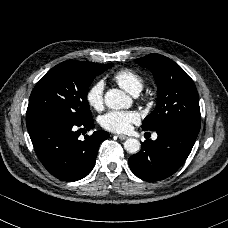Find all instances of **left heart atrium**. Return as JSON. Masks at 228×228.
Here are the masks:
<instances>
[{
  "mask_svg": "<svg viewBox=\"0 0 228 228\" xmlns=\"http://www.w3.org/2000/svg\"><path fill=\"white\" fill-rule=\"evenodd\" d=\"M138 120L139 117L136 112L111 110L101 117L100 123L103 128L111 132L124 133L129 131L132 124Z\"/></svg>",
  "mask_w": 228,
  "mask_h": 228,
  "instance_id": "1",
  "label": "left heart atrium"
}]
</instances>
